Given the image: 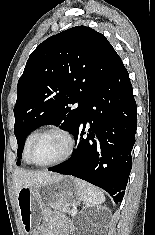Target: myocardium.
I'll return each mask as SVG.
<instances>
[{
    "label": "myocardium",
    "mask_w": 155,
    "mask_h": 235,
    "mask_svg": "<svg viewBox=\"0 0 155 235\" xmlns=\"http://www.w3.org/2000/svg\"><path fill=\"white\" fill-rule=\"evenodd\" d=\"M48 133H59L62 136H64L67 141V150H66L65 154L61 158H59L58 160H55L50 163H45V164L36 163L33 161L32 156H31L33 147L41 137H43L44 135H46ZM75 147H76V141H75V138H74L73 134L71 133V131H69L65 127H62L59 125H53V126L47 127V128L38 132V134L35 136V138L33 139V141L31 142V144L28 148L27 158H28L29 163L34 166L53 167V166H57V165H60L64 162L68 161L71 158V156L73 155V153L75 151Z\"/></svg>",
    "instance_id": "f54148a6"
}]
</instances>
